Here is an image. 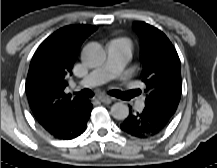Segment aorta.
<instances>
[{"mask_svg": "<svg viewBox=\"0 0 217 168\" xmlns=\"http://www.w3.org/2000/svg\"><path fill=\"white\" fill-rule=\"evenodd\" d=\"M82 60L89 67H99L105 62L106 54L99 44L92 43L83 49ZM111 115L117 120H124L129 115V107L122 102H117L111 106Z\"/></svg>", "mask_w": 217, "mask_h": 168, "instance_id": "obj_1", "label": "aorta"}]
</instances>
